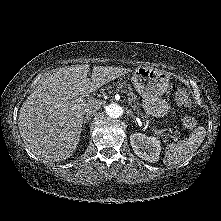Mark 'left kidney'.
<instances>
[{
    "mask_svg": "<svg viewBox=\"0 0 221 221\" xmlns=\"http://www.w3.org/2000/svg\"><path fill=\"white\" fill-rule=\"evenodd\" d=\"M130 143L134 153L148 161L157 162L161 152L160 141L156 137H148L142 133L130 135Z\"/></svg>",
    "mask_w": 221,
    "mask_h": 221,
    "instance_id": "1",
    "label": "left kidney"
}]
</instances>
